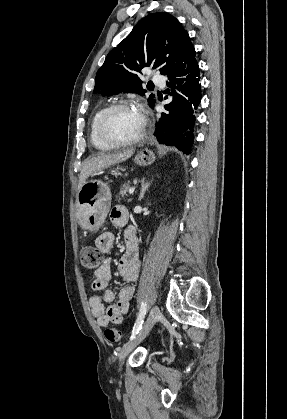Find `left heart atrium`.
Wrapping results in <instances>:
<instances>
[{"mask_svg": "<svg viewBox=\"0 0 287 419\" xmlns=\"http://www.w3.org/2000/svg\"><path fill=\"white\" fill-rule=\"evenodd\" d=\"M136 110V112L143 118V112H142V108L141 107H138V108H136L135 109Z\"/></svg>", "mask_w": 287, "mask_h": 419, "instance_id": "obj_1", "label": "left heart atrium"}]
</instances>
